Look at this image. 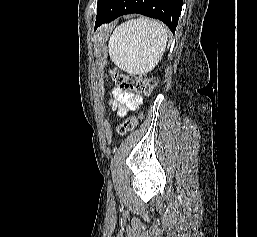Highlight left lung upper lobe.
Instances as JSON below:
<instances>
[{
	"instance_id": "5c2ea615",
	"label": "left lung upper lobe",
	"mask_w": 257,
	"mask_h": 237,
	"mask_svg": "<svg viewBox=\"0 0 257 237\" xmlns=\"http://www.w3.org/2000/svg\"><path fill=\"white\" fill-rule=\"evenodd\" d=\"M108 2V0H98L97 3V15L100 13V11L103 9L105 4Z\"/></svg>"
}]
</instances>
